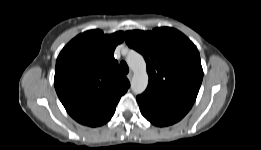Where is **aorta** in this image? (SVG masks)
Wrapping results in <instances>:
<instances>
[{
    "instance_id": "1",
    "label": "aorta",
    "mask_w": 261,
    "mask_h": 150,
    "mask_svg": "<svg viewBox=\"0 0 261 150\" xmlns=\"http://www.w3.org/2000/svg\"><path fill=\"white\" fill-rule=\"evenodd\" d=\"M127 65L133 71L131 79V89L135 94L143 93L148 85V74L146 71V62L141 54L132 51L126 58Z\"/></svg>"
}]
</instances>
